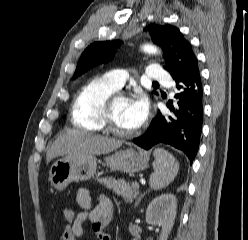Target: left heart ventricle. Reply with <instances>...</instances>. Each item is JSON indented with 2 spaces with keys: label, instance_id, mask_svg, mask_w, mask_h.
<instances>
[{
  "label": "left heart ventricle",
  "instance_id": "1",
  "mask_svg": "<svg viewBox=\"0 0 248 240\" xmlns=\"http://www.w3.org/2000/svg\"><path fill=\"white\" fill-rule=\"evenodd\" d=\"M130 105V99L126 97H118L112 104L111 115L114 124L117 128L124 131L135 129L128 117V109Z\"/></svg>",
  "mask_w": 248,
  "mask_h": 240
}]
</instances>
